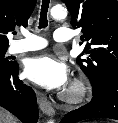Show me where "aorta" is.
Returning <instances> with one entry per match:
<instances>
[{"label":"aorta","instance_id":"1","mask_svg":"<svg viewBox=\"0 0 118 123\" xmlns=\"http://www.w3.org/2000/svg\"><path fill=\"white\" fill-rule=\"evenodd\" d=\"M51 16L55 19H64L67 16V9L61 5H56L51 8ZM54 123V121H49Z\"/></svg>","mask_w":118,"mask_h":123}]
</instances>
